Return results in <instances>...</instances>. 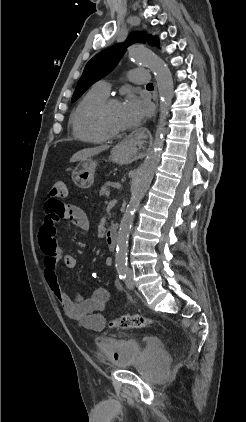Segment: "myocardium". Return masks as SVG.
<instances>
[{
    "label": "myocardium",
    "mask_w": 246,
    "mask_h": 422,
    "mask_svg": "<svg viewBox=\"0 0 246 422\" xmlns=\"http://www.w3.org/2000/svg\"><path fill=\"white\" fill-rule=\"evenodd\" d=\"M120 104L119 100L112 97H107L101 103L98 104L94 111V119L98 129L107 137V138H118L121 137L124 133L123 130H114L109 127L106 121V111L112 105Z\"/></svg>",
    "instance_id": "1"
}]
</instances>
